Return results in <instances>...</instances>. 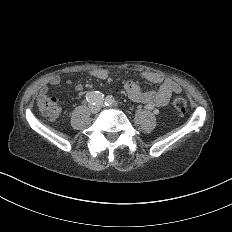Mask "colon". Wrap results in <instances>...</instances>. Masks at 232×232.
I'll return each instance as SVG.
<instances>
[{"mask_svg":"<svg viewBox=\"0 0 232 232\" xmlns=\"http://www.w3.org/2000/svg\"><path fill=\"white\" fill-rule=\"evenodd\" d=\"M38 100L40 101L42 113H51L48 114V119H61V114H56L59 113V108H54V105H51V98L39 96ZM186 101L187 98L183 97L182 94H175L172 97V107H176L175 114H187V109H185Z\"/></svg>","mask_w":232,"mask_h":232,"instance_id":"5ec220e1","label":"colon"}]
</instances>
